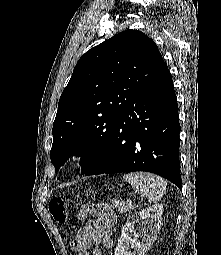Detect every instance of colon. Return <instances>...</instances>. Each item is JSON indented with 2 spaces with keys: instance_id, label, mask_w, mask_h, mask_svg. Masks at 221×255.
Returning a JSON list of instances; mask_svg holds the SVG:
<instances>
[{
  "instance_id": "colon-1",
  "label": "colon",
  "mask_w": 221,
  "mask_h": 255,
  "mask_svg": "<svg viewBox=\"0 0 221 255\" xmlns=\"http://www.w3.org/2000/svg\"><path fill=\"white\" fill-rule=\"evenodd\" d=\"M48 209L57 224L63 225L67 222L69 211L67 204L61 198L51 199L48 203ZM87 214H91L90 206H85L80 216Z\"/></svg>"
}]
</instances>
